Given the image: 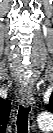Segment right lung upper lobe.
Masks as SVG:
<instances>
[{
    "mask_svg": "<svg viewBox=\"0 0 53 133\" xmlns=\"http://www.w3.org/2000/svg\"><path fill=\"white\" fill-rule=\"evenodd\" d=\"M0 123L3 129H5L7 123H8V118H9V113L11 110V104L9 101H5L2 98H0Z\"/></svg>",
    "mask_w": 53,
    "mask_h": 133,
    "instance_id": "cb5924a9",
    "label": "right lung upper lobe"
}]
</instances>
